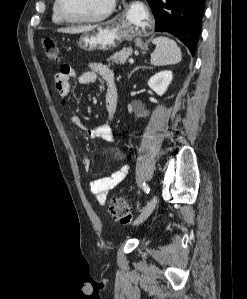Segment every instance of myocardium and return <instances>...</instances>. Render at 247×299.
<instances>
[{
	"mask_svg": "<svg viewBox=\"0 0 247 299\" xmlns=\"http://www.w3.org/2000/svg\"><path fill=\"white\" fill-rule=\"evenodd\" d=\"M116 5V0H111L109 6L106 10H104L99 15L93 16V17H73L70 16L64 9V0H56V7L58 14L60 17L65 21L69 23H75V24H81V23H97L105 20L108 18L111 13L114 11Z\"/></svg>",
	"mask_w": 247,
	"mask_h": 299,
	"instance_id": "myocardium-1",
	"label": "myocardium"
}]
</instances>
